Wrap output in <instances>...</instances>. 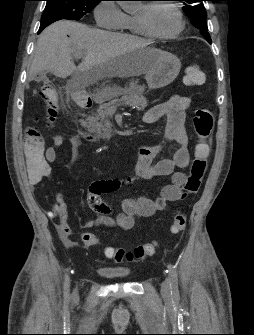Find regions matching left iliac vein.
Returning a JSON list of instances; mask_svg holds the SVG:
<instances>
[{"label":"left iliac vein","instance_id":"left-iliac-vein-1","mask_svg":"<svg viewBox=\"0 0 254 335\" xmlns=\"http://www.w3.org/2000/svg\"><path fill=\"white\" fill-rule=\"evenodd\" d=\"M171 286H170V280L165 279L163 283L161 284V293L164 296H168L170 294Z\"/></svg>","mask_w":254,"mask_h":335}]
</instances>
